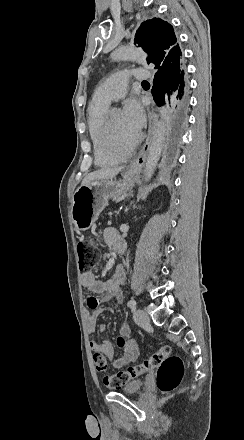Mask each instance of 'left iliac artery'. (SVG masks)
<instances>
[{"mask_svg":"<svg viewBox=\"0 0 244 440\" xmlns=\"http://www.w3.org/2000/svg\"><path fill=\"white\" fill-rule=\"evenodd\" d=\"M127 306H128L130 309L134 310V309L136 308V301H135L134 299H131V300L127 303Z\"/></svg>","mask_w":244,"mask_h":440,"instance_id":"44dca946","label":"left iliac artery"}]
</instances>
